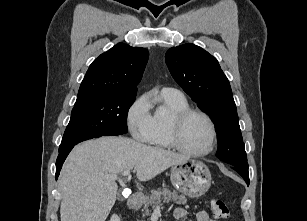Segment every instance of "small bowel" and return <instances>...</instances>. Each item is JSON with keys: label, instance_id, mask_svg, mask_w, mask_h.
Here are the masks:
<instances>
[{"label": "small bowel", "instance_id": "c3829d8e", "mask_svg": "<svg viewBox=\"0 0 307 221\" xmlns=\"http://www.w3.org/2000/svg\"><path fill=\"white\" fill-rule=\"evenodd\" d=\"M187 216V211L184 208H176L174 210V217L176 219H183ZM196 221H215L209 217L207 212L199 211L195 217Z\"/></svg>", "mask_w": 307, "mask_h": 221}]
</instances>
